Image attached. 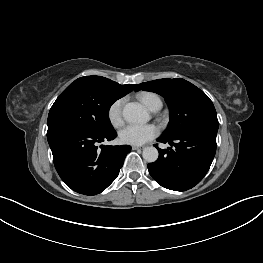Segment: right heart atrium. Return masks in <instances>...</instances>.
I'll return each instance as SVG.
<instances>
[{"label":"right heart atrium","instance_id":"right-heart-atrium-1","mask_svg":"<svg viewBox=\"0 0 263 263\" xmlns=\"http://www.w3.org/2000/svg\"><path fill=\"white\" fill-rule=\"evenodd\" d=\"M122 105L123 99H117L109 105L107 110L108 120L115 128H118L123 124Z\"/></svg>","mask_w":263,"mask_h":263}]
</instances>
